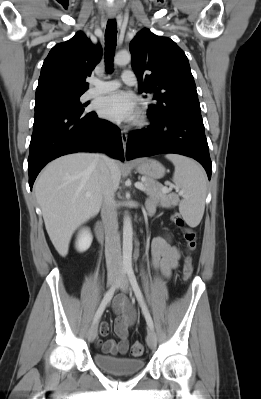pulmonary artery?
<instances>
[{
  "label": "pulmonary artery",
  "mask_w": 261,
  "mask_h": 399,
  "mask_svg": "<svg viewBox=\"0 0 261 399\" xmlns=\"http://www.w3.org/2000/svg\"><path fill=\"white\" fill-rule=\"evenodd\" d=\"M121 83L132 85L135 83V74L131 70H125L122 73L121 80L99 81L92 80V86L86 93L87 98H92L96 95L110 93L118 89Z\"/></svg>",
  "instance_id": "pulmonary-artery-1"
}]
</instances>
